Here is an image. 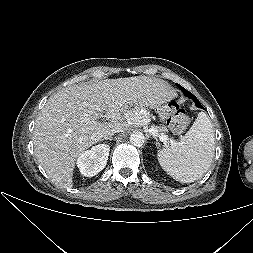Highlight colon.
Returning <instances> with one entry per match:
<instances>
[{
    "label": "colon",
    "mask_w": 253,
    "mask_h": 253,
    "mask_svg": "<svg viewBox=\"0 0 253 253\" xmlns=\"http://www.w3.org/2000/svg\"><path fill=\"white\" fill-rule=\"evenodd\" d=\"M168 121L173 132L184 130L189 124V117L180 109L178 103L172 102L168 105Z\"/></svg>",
    "instance_id": "obj_1"
}]
</instances>
